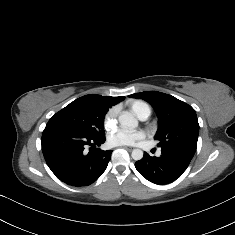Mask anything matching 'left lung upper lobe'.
Instances as JSON below:
<instances>
[{
  "label": "left lung upper lobe",
  "mask_w": 235,
  "mask_h": 235,
  "mask_svg": "<svg viewBox=\"0 0 235 235\" xmlns=\"http://www.w3.org/2000/svg\"><path fill=\"white\" fill-rule=\"evenodd\" d=\"M152 105L158 116L155 139L159 147H179L195 153L199 134L196 111L185 102L157 91L130 95Z\"/></svg>",
  "instance_id": "obj_1"
}]
</instances>
